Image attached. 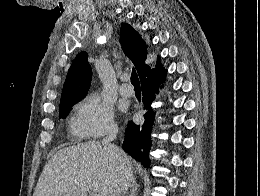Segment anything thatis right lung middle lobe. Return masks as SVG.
Here are the masks:
<instances>
[{
    "label": "right lung middle lobe",
    "instance_id": "1",
    "mask_svg": "<svg viewBox=\"0 0 260 196\" xmlns=\"http://www.w3.org/2000/svg\"><path fill=\"white\" fill-rule=\"evenodd\" d=\"M78 101H79V100H76V101L70 103L69 105H67L66 107L60 109V110H59V118H66L67 115L69 114V111H70L71 107H72L75 103H77Z\"/></svg>",
    "mask_w": 260,
    "mask_h": 196
}]
</instances>
